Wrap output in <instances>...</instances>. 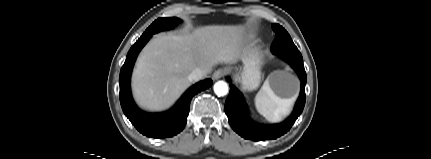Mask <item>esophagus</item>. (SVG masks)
<instances>
[{
  "mask_svg": "<svg viewBox=\"0 0 431 159\" xmlns=\"http://www.w3.org/2000/svg\"><path fill=\"white\" fill-rule=\"evenodd\" d=\"M226 73H227L226 69H218L213 73L212 78H213V80H218V79L224 77V75Z\"/></svg>",
  "mask_w": 431,
  "mask_h": 159,
  "instance_id": "obj_1",
  "label": "esophagus"
}]
</instances>
